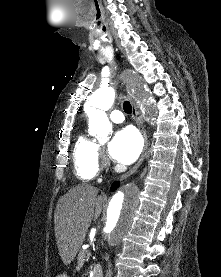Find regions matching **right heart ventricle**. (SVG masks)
<instances>
[{"label": "right heart ventricle", "mask_w": 221, "mask_h": 277, "mask_svg": "<svg viewBox=\"0 0 221 277\" xmlns=\"http://www.w3.org/2000/svg\"><path fill=\"white\" fill-rule=\"evenodd\" d=\"M99 156V146L95 141L85 134L77 137L72 150V161L79 180L90 181L98 175Z\"/></svg>", "instance_id": "1"}]
</instances>
